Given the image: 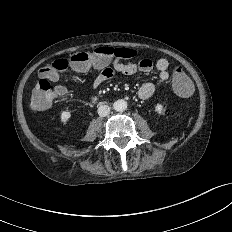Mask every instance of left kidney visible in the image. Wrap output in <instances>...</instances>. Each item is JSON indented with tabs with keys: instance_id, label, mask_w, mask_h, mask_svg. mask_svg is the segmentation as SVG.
I'll use <instances>...</instances> for the list:
<instances>
[{
	"instance_id": "1",
	"label": "left kidney",
	"mask_w": 232,
	"mask_h": 232,
	"mask_svg": "<svg viewBox=\"0 0 232 232\" xmlns=\"http://www.w3.org/2000/svg\"><path fill=\"white\" fill-rule=\"evenodd\" d=\"M155 111L158 113V114H162L164 112V107L162 104H157L155 106Z\"/></svg>"
}]
</instances>
